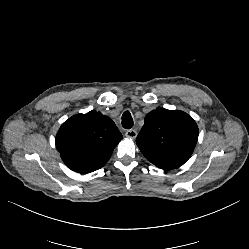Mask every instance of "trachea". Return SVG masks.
Listing matches in <instances>:
<instances>
[{
    "mask_svg": "<svg viewBox=\"0 0 249 249\" xmlns=\"http://www.w3.org/2000/svg\"><path fill=\"white\" fill-rule=\"evenodd\" d=\"M122 126L126 129L133 127V119L129 111H125L122 115Z\"/></svg>",
    "mask_w": 249,
    "mask_h": 249,
    "instance_id": "trachea-1",
    "label": "trachea"
}]
</instances>
